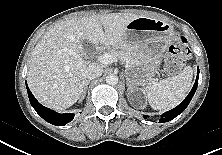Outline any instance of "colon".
Returning <instances> with one entry per match:
<instances>
[{
	"instance_id": "colon-1",
	"label": "colon",
	"mask_w": 222,
	"mask_h": 155,
	"mask_svg": "<svg viewBox=\"0 0 222 155\" xmlns=\"http://www.w3.org/2000/svg\"><path fill=\"white\" fill-rule=\"evenodd\" d=\"M190 57L191 51L187 40L183 36L175 37L165 58V70L171 74L177 73Z\"/></svg>"
}]
</instances>
